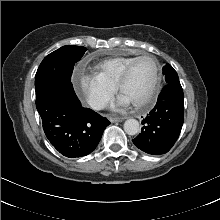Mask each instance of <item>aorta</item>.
Here are the masks:
<instances>
[{"label":"aorta","instance_id":"1","mask_svg":"<svg viewBox=\"0 0 220 220\" xmlns=\"http://www.w3.org/2000/svg\"><path fill=\"white\" fill-rule=\"evenodd\" d=\"M140 130L139 122L136 119H128L124 123V131L128 135H136Z\"/></svg>","mask_w":220,"mask_h":220}]
</instances>
